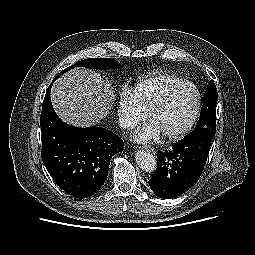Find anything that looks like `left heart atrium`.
<instances>
[{
	"label": "left heart atrium",
	"mask_w": 255,
	"mask_h": 255,
	"mask_svg": "<svg viewBox=\"0 0 255 255\" xmlns=\"http://www.w3.org/2000/svg\"><path fill=\"white\" fill-rule=\"evenodd\" d=\"M162 132L154 121H149L133 134V140L137 143H152L161 138Z\"/></svg>",
	"instance_id": "obj_1"
}]
</instances>
